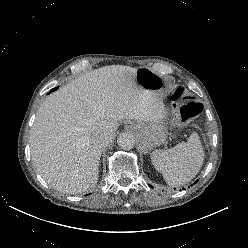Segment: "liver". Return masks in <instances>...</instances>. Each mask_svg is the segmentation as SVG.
I'll return each mask as SVG.
<instances>
[{"instance_id": "1", "label": "liver", "mask_w": 248, "mask_h": 248, "mask_svg": "<svg viewBox=\"0 0 248 248\" xmlns=\"http://www.w3.org/2000/svg\"><path fill=\"white\" fill-rule=\"evenodd\" d=\"M135 74L129 66H104L42 102L31 128L30 147L35 167L51 187L67 194L92 190L106 147L94 142L96 136L110 132L113 137L122 119H162L165 110L152 91L138 85Z\"/></svg>"}]
</instances>
